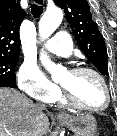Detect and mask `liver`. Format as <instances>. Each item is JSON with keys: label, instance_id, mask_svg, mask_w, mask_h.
Returning <instances> with one entry per match:
<instances>
[{"label": "liver", "instance_id": "6515ba94", "mask_svg": "<svg viewBox=\"0 0 117 136\" xmlns=\"http://www.w3.org/2000/svg\"><path fill=\"white\" fill-rule=\"evenodd\" d=\"M48 129L42 109L19 91L0 88V136H43Z\"/></svg>", "mask_w": 117, "mask_h": 136}]
</instances>
